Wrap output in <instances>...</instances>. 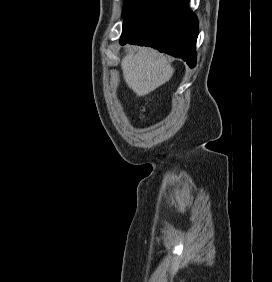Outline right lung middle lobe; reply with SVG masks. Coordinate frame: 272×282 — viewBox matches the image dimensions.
I'll use <instances>...</instances> for the list:
<instances>
[{
	"instance_id": "dd1d6c3e",
	"label": "right lung middle lobe",
	"mask_w": 272,
	"mask_h": 282,
	"mask_svg": "<svg viewBox=\"0 0 272 282\" xmlns=\"http://www.w3.org/2000/svg\"><path fill=\"white\" fill-rule=\"evenodd\" d=\"M141 0H125L123 7V17H126Z\"/></svg>"
}]
</instances>
